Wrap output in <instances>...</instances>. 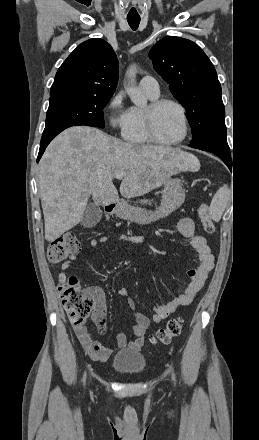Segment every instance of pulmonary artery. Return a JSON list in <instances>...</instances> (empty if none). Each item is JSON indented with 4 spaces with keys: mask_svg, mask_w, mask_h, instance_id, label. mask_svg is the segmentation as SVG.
I'll return each instance as SVG.
<instances>
[{
    "mask_svg": "<svg viewBox=\"0 0 259 440\" xmlns=\"http://www.w3.org/2000/svg\"><path fill=\"white\" fill-rule=\"evenodd\" d=\"M141 89L148 95L157 97L159 96L160 89L157 80L152 76H144L139 83Z\"/></svg>",
    "mask_w": 259,
    "mask_h": 440,
    "instance_id": "obj_1",
    "label": "pulmonary artery"
}]
</instances>
